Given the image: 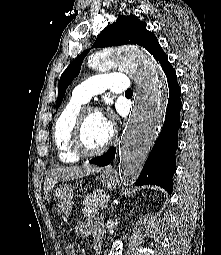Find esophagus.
Listing matches in <instances>:
<instances>
[{
  "label": "esophagus",
  "instance_id": "34e87169",
  "mask_svg": "<svg viewBox=\"0 0 221 255\" xmlns=\"http://www.w3.org/2000/svg\"><path fill=\"white\" fill-rule=\"evenodd\" d=\"M106 170H108V171H109V170H110V168H107Z\"/></svg>",
  "mask_w": 221,
  "mask_h": 255
}]
</instances>
